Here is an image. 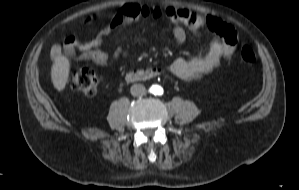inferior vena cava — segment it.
<instances>
[{
	"label": "inferior vena cava",
	"instance_id": "inferior-vena-cava-1",
	"mask_svg": "<svg viewBox=\"0 0 299 190\" xmlns=\"http://www.w3.org/2000/svg\"><path fill=\"white\" fill-rule=\"evenodd\" d=\"M130 92L133 96L138 97V96H143L146 94V89L143 85L141 84H134L131 89Z\"/></svg>",
	"mask_w": 299,
	"mask_h": 190
}]
</instances>
